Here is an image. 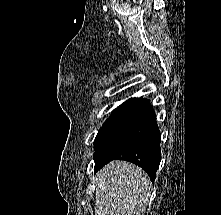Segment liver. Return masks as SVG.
I'll return each mask as SVG.
<instances>
[{"mask_svg": "<svg viewBox=\"0 0 221 215\" xmlns=\"http://www.w3.org/2000/svg\"><path fill=\"white\" fill-rule=\"evenodd\" d=\"M95 215H144L151 182L138 166L112 161L95 177Z\"/></svg>", "mask_w": 221, "mask_h": 215, "instance_id": "liver-1", "label": "liver"}]
</instances>
